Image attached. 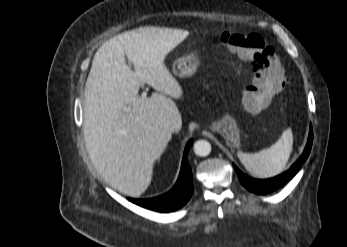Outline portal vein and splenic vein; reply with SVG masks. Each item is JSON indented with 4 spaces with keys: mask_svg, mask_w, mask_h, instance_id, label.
I'll use <instances>...</instances> for the list:
<instances>
[{
    "mask_svg": "<svg viewBox=\"0 0 347 247\" xmlns=\"http://www.w3.org/2000/svg\"><path fill=\"white\" fill-rule=\"evenodd\" d=\"M146 96H147L146 92H143L141 98H142V99H145ZM124 110H125L126 112H130V111H131L130 108H125Z\"/></svg>",
    "mask_w": 347,
    "mask_h": 247,
    "instance_id": "obj_1",
    "label": "portal vein and splenic vein"
}]
</instances>
